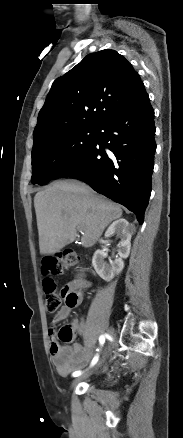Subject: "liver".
I'll list each match as a JSON object with an SVG mask.
<instances>
[{
    "label": "liver",
    "mask_w": 183,
    "mask_h": 438,
    "mask_svg": "<svg viewBox=\"0 0 183 438\" xmlns=\"http://www.w3.org/2000/svg\"><path fill=\"white\" fill-rule=\"evenodd\" d=\"M39 249L42 255L59 252L82 232L84 247L93 246L104 229L122 216L119 205L77 180L51 183L34 197Z\"/></svg>",
    "instance_id": "1"
}]
</instances>
